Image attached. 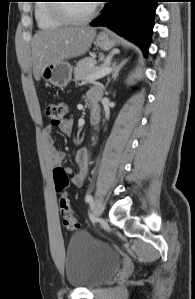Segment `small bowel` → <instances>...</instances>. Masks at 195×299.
<instances>
[{"mask_svg": "<svg viewBox=\"0 0 195 299\" xmlns=\"http://www.w3.org/2000/svg\"><path fill=\"white\" fill-rule=\"evenodd\" d=\"M98 95V91L93 89L88 93V98L91 101H95ZM58 127L63 133L70 134L72 132L73 121L71 119H65L58 125ZM53 130V125H47L43 130V140L47 146L51 164L53 166H59L65 158V153L55 147L53 140ZM74 161L78 168L76 173L73 174V169L71 167H65L64 170L68 174H73L71 178L72 184L76 187H81L89 169V150L87 148L78 149L74 154Z\"/></svg>", "mask_w": 195, "mask_h": 299, "instance_id": "obj_1", "label": "small bowel"}]
</instances>
